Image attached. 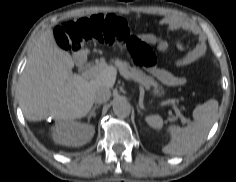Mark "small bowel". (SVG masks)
<instances>
[{
	"label": "small bowel",
	"mask_w": 236,
	"mask_h": 182,
	"mask_svg": "<svg viewBox=\"0 0 236 182\" xmlns=\"http://www.w3.org/2000/svg\"><path fill=\"white\" fill-rule=\"evenodd\" d=\"M162 24L166 25L170 31H177V30L188 31L189 30L188 23L176 16L165 17L162 20ZM140 38L145 43L157 45V48L160 52L164 54H169L168 43L162 40L161 38H158L157 36L153 34H143L141 35ZM204 52H205V44L203 42H200L193 50H191L185 56L178 59H174L173 62L178 67L186 66L198 60L204 54ZM177 83L178 84L186 83V78L184 77L178 78Z\"/></svg>",
	"instance_id": "small-bowel-1"
}]
</instances>
